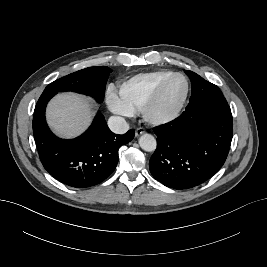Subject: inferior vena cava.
<instances>
[{
	"instance_id": "1",
	"label": "inferior vena cava",
	"mask_w": 267,
	"mask_h": 267,
	"mask_svg": "<svg viewBox=\"0 0 267 267\" xmlns=\"http://www.w3.org/2000/svg\"><path fill=\"white\" fill-rule=\"evenodd\" d=\"M108 126L110 130L116 134H124L129 129L128 123L121 116H111L108 119Z\"/></svg>"
}]
</instances>
